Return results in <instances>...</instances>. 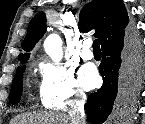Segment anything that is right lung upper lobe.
<instances>
[{
	"label": "right lung upper lobe",
	"instance_id": "cb5924a9",
	"mask_svg": "<svg viewBox=\"0 0 145 124\" xmlns=\"http://www.w3.org/2000/svg\"><path fill=\"white\" fill-rule=\"evenodd\" d=\"M128 22L123 0H92L82 8L78 27L83 33L96 29L95 35L102 44L109 37L123 31ZM45 30L46 18L42 12H39L29 23L28 32L22 43L23 50L27 52L32 50ZM28 58L29 53H21L18 60L25 62Z\"/></svg>",
	"mask_w": 145,
	"mask_h": 124
}]
</instances>
